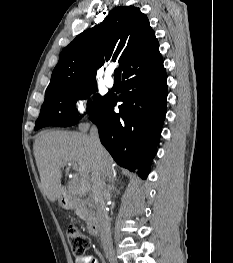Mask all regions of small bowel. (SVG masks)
<instances>
[{"label": "small bowel", "instance_id": "small-bowel-1", "mask_svg": "<svg viewBox=\"0 0 233 263\" xmlns=\"http://www.w3.org/2000/svg\"><path fill=\"white\" fill-rule=\"evenodd\" d=\"M76 263H98V260L92 255H87L81 259L76 260Z\"/></svg>", "mask_w": 233, "mask_h": 263}]
</instances>
